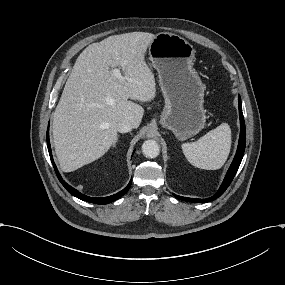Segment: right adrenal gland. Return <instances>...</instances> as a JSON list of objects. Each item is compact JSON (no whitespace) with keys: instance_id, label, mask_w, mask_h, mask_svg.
<instances>
[{"instance_id":"1","label":"right adrenal gland","mask_w":285,"mask_h":285,"mask_svg":"<svg viewBox=\"0 0 285 285\" xmlns=\"http://www.w3.org/2000/svg\"><path fill=\"white\" fill-rule=\"evenodd\" d=\"M118 138H119V135L117 136V140H118ZM116 142L113 144V147H116Z\"/></svg>"}]
</instances>
